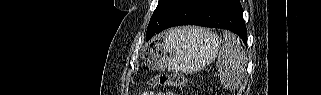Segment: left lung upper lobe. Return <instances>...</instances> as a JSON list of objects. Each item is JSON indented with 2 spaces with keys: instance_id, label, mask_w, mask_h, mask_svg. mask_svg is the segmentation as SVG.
<instances>
[{
  "instance_id": "obj_1",
  "label": "left lung upper lobe",
  "mask_w": 321,
  "mask_h": 95,
  "mask_svg": "<svg viewBox=\"0 0 321 95\" xmlns=\"http://www.w3.org/2000/svg\"><path fill=\"white\" fill-rule=\"evenodd\" d=\"M175 0H159L149 25L147 27L146 38H148L157 29L159 23L163 20Z\"/></svg>"
}]
</instances>
